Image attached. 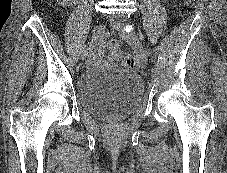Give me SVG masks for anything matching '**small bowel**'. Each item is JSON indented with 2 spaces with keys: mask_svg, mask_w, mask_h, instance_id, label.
Wrapping results in <instances>:
<instances>
[{
  "mask_svg": "<svg viewBox=\"0 0 227 173\" xmlns=\"http://www.w3.org/2000/svg\"><path fill=\"white\" fill-rule=\"evenodd\" d=\"M101 54H102L101 51L96 52L94 55V60L99 59L101 57Z\"/></svg>",
  "mask_w": 227,
  "mask_h": 173,
  "instance_id": "c3829d8e",
  "label": "small bowel"
}]
</instances>
